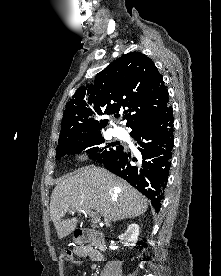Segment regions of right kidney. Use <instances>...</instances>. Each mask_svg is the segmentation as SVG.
Returning a JSON list of instances; mask_svg holds the SVG:
<instances>
[{
  "instance_id": "right-kidney-1",
  "label": "right kidney",
  "mask_w": 221,
  "mask_h": 276,
  "mask_svg": "<svg viewBox=\"0 0 221 276\" xmlns=\"http://www.w3.org/2000/svg\"><path fill=\"white\" fill-rule=\"evenodd\" d=\"M139 236V226L135 223L130 224L126 232L122 235L127 240V246H135Z\"/></svg>"
}]
</instances>
